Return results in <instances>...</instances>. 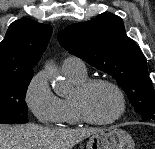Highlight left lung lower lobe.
<instances>
[{
	"label": "left lung lower lobe",
	"mask_w": 155,
	"mask_h": 149,
	"mask_svg": "<svg viewBox=\"0 0 155 149\" xmlns=\"http://www.w3.org/2000/svg\"><path fill=\"white\" fill-rule=\"evenodd\" d=\"M148 120H155V119L152 117H147V118L141 119L140 121L143 122V121H148Z\"/></svg>",
	"instance_id": "left-lung-lower-lobe-1"
}]
</instances>
